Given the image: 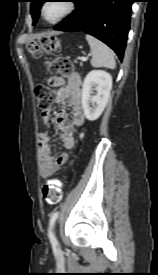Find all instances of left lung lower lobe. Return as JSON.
I'll list each match as a JSON object with an SVG mask.
<instances>
[{
	"mask_svg": "<svg viewBox=\"0 0 158 275\" xmlns=\"http://www.w3.org/2000/svg\"><path fill=\"white\" fill-rule=\"evenodd\" d=\"M75 11L55 30L83 31L112 48L123 59L134 0H74Z\"/></svg>",
	"mask_w": 158,
	"mask_h": 275,
	"instance_id": "left-lung-lower-lobe-1",
	"label": "left lung lower lobe"
}]
</instances>
